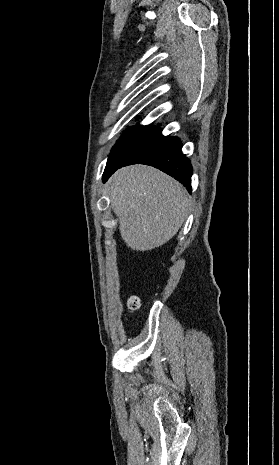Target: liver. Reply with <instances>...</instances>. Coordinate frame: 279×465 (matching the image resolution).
<instances>
[{
    "label": "liver",
    "instance_id": "obj_1",
    "mask_svg": "<svg viewBox=\"0 0 279 465\" xmlns=\"http://www.w3.org/2000/svg\"><path fill=\"white\" fill-rule=\"evenodd\" d=\"M107 194L119 219V231L132 250L146 251L170 240L188 216L190 197L172 177L151 166L118 169Z\"/></svg>",
    "mask_w": 279,
    "mask_h": 465
}]
</instances>
